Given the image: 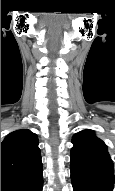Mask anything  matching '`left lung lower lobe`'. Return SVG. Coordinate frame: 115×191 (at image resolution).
<instances>
[{
    "label": "left lung lower lobe",
    "instance_id": "1",
    "mask_svg": "<svg viewBox=\"0 0 115 191\" xmlns=\"http://www.w3.org/2000/svg\"><path fill=\"white\" fill-rule=\"evenodd\" d=\"M74 191H112L114 174L103 169L70 164Z\"/></svg>",
    "mask_w": 115,
    "mask_h": 191
}]
</instances>
